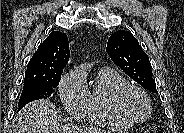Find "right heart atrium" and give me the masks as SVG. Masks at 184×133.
<instances>
[{
    "label": "right heart atrium",
    "mask_w": 184,
    "mask_h": 133,
    "mask_svg": "<svg viewBox=\"0 0 184 133\" xmlns=\"http://www.w3.org/2000/svg\"><path fill=\"white\" fill-rule=\"evenodd\" d=\"M59 96L72 118L83 120L87 117L90 92L81 70H72L61 79Z\"/></svg>",
    "instance_id": "right-heart-atrium-1"
}]
</instances>
